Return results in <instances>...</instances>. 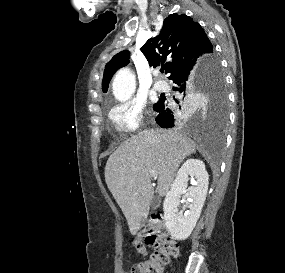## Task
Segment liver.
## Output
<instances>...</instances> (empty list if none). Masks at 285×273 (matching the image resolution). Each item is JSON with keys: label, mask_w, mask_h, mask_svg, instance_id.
Masks as SVG:
<instances>
[{"label": "liver", "mask_w": 285, "mask_h": 273, "mask_svg": "<svg viewBox=\"0 0 285 273\" xmlns=\"http://www.w3.org/2000/svg\"><path fill=\"white\" fill-rule=\"evenodd\" d=\"M196 144L176 130L157 129L126 139L107 160L106 184L121 208L131 234L149 213L154 194L150 171L158 174L157 190L165 196L181 162Z\"/></svg>", "instance_id": "1"}]
</instances>
